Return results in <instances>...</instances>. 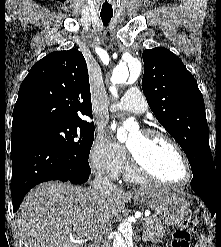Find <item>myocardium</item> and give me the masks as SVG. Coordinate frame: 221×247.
Masks as SVG:
<instances>
[{
    "label": "myocardium",
    "instance_id": "f54148a6",
    "mask_svg": "<svg viewBox=\"0 0 221 247\" xmlns=\"http://www.w3.org/2000/svg\"><path fill=\"white\" fill-rule=\"evenodd\" d=\"M148 141L150 142H165L169 145H171L173 148L177 150L179 155L181 156L183 163L185 165L186 169V179L183 182L179 183H172V182H167L162 179H160L146 164V162L137 154L132 152L129 147H127L128 154H129V160H130V166L132 169L135 171L136 174H138L140 177H142L145 180L157 183L159 185L167 186V187H184L190 184V182L193 179V169L190 163V160L184 151V149L181 147V145L173 139L171 136L168 134L156 130V129H143L140 131Z\"/></svg>",
    "mask_w": 221,
    "mask_h": 247
}]
</instances>
